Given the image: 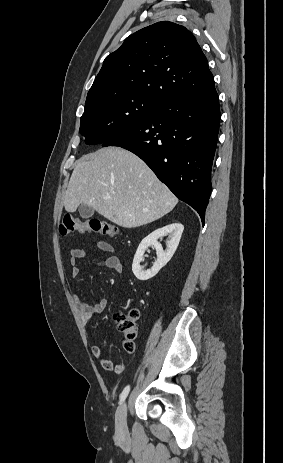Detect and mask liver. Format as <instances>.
Instances as JSON below:
<instances>
[{
    "label": "liver",
    "instance_id": "6515ba94",
    "mask_svg": "<svg viewBox=\"0 0 283 463\" xmlns=\"http://www.w3.org/2000/svg\"><path fill=\"white\" fill-rule=\"evenodd\" d=\"M177 203L176 196L139 157L120 147L82 156L64 199L67 212L84 204L125 228L158 220Z\"/></svg>",
    "mask_w": 283,
    "mask_h": 463
}]
</instances>
